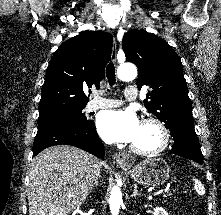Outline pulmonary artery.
<instances>
[{
	"label": "pulmonary artery",
	"mask_w": 221,
	"mask_h": 215,
	"mask_svg": "<svg viewBox=\"0 0 221 215\" xmlns=\"http://www.w3.org/2000/svg\"><path fill=\"white\" fill-rule=\"evenodd\" d=\"M137 97V89L134 86H128L125 89V98L128 101L135 100ZM121 104L120 101L113 100V99H106V98H95L91 100L88 104L89 110H98V109H106V108H113L117 107Z\"/></svg>",
	"instance_id": "pulmonary-artery-1"
}]
</instances>
